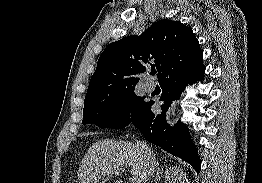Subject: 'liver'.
<instances>
[{
  "label": "liver",
  "mask_w": 262,
  "mask_h": 183,
  "mask_svg": "<svg viewBox=\"0 0 262 183\" xmlns=\"http://www.w3.org/2000/svg\"><path fill=\"white\" fill-rule=\"evenodd\" d=\"M126 167H131V173L144 183L148 181L144 157L136 143L110 138L98 140L81 160L79 183H100L106 175L111 177Z\"/></svg>",
  "instance_id": "obj_1"
}]
</instances>
